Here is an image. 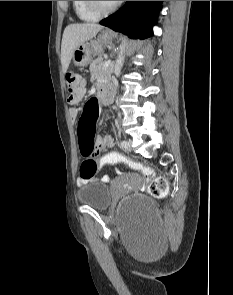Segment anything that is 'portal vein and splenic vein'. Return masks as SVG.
Instances as JSON below:
<instances>
[{
  "label": "portal vein and splenic vein",
  "instance_id": "obj_1",
  "mask_svg": "<svg viewBox=\"0 0 233 295\" xmlns=\"http://www.w3.org/2000/svg\"><path fill=\"white\" fill-rule=\"evenodd\" d=\"M110 62H111V60H108V61H106V62L104 63V65H103V68H106V67H108V66H109V64H110Z\"/></svg>",
  "mask_w": 233,
  "mask_h": 295
}]
</instances>
